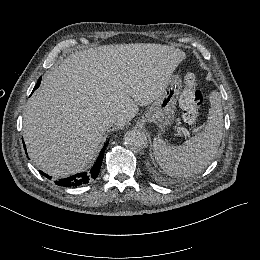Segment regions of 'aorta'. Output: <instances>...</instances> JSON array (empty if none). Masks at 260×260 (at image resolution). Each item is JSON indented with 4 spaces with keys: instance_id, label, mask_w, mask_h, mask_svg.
Returning <instances> with one entry per match:
<instances>
[{
    "instance_id": "aorta-1",
    "label": "aorta",
    "mask_w": 260,
    "mask_h": 260,
    "mask_svg": "<svg viewBox=\"0 0 260 260\" xmlns=\"http://www.w3.org/2000/svg\"><path fill=\"white\" fill-rule=\"evenodd\" d=\"M124 144L131 151H140L147 145V137L143 132L130 130L124 135Z\"/></svg>"
}]
</instances>
